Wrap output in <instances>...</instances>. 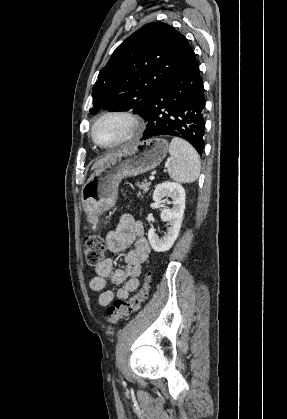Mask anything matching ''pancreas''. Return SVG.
Masks as SVG:
<instances>
[{
	"label": "pancreas",
	"instance_id": "obj_1",
	"mask_svg": "<svg viewBox=\"0 0 287 419\" xmlns=\"http://www.w3.org/2000/svg\"><path fill=\"white\" fill-rule=\"evenodd\" d=\"M151 186V182H142L141 184H138L139 189L143 191V193L148 192L149 188Z\"/></svg>",
	"mask_w": 287,
	"mask_h": 419
}]
</instances>
